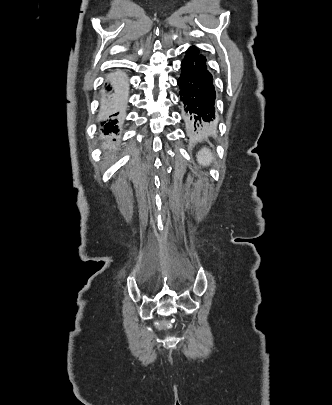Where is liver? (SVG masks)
<instances>
[{
	"instance_id": "1",
	"label": "liver",
	"mask_w": 332,
	"mask_h": 405,
	"mask_svg": "<svg viewBox=\"0 0 332 405\" xmlns=\"http://www.w3.org/2000/svg\"><path fill=\"white\" fill-rule=\"evenodd\" d=\"M103 147H104L105 149H108V150H111V149H115V148H116L115 145L112 144V143H110V142H108L107 144L104 143Z\"/></svg>"
}]
</instances>
